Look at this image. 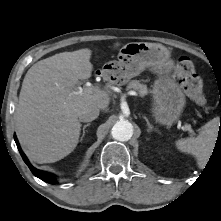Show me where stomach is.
<instances>
[{"instance_id":"stomach-1","label":"stomach","mask_w":221,"mask_h":221,"mask_svg":"<svg viewBox=\"0 0 221 221\" xmlns=\"http://www.w3.org/2000/svg\"><path fill=\"white\" fill-rule=\"evenodd\" d=\"M118 60L104 65L103 71L110 81L125 84L145 69L151 70L157 78L152 85V112L158 122L171 126L185 107L186 98L171 73L174 61L170 51L161 44L131 42L124 45Z\"/></svg>"}]
</instances>
